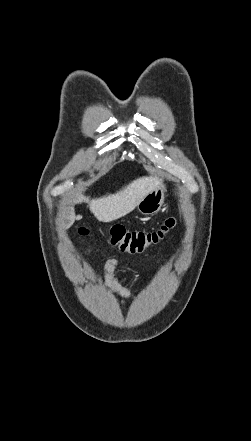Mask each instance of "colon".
Masks as SVG:
<instances>
[{"label":"colon","instance_id":"obj_1","mask_svg":"<svg viewBox=\"0 0 251 441\" xmlns=\"http://www.w3.org/2000/svg\"><path fill=\"white\" fill-rule=\"evenodd\" d=\"M176 226V219L169 217L160 227L150 230H128L122 225H112L109 229L110 243L122 252L142 253L149 247L161 242L166 235ZM81 234H86L87 229L80 228Z\"/></svg>","mask_w":251,"mask_h":441}]
</instances>
